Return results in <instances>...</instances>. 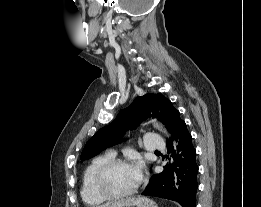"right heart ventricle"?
Masks as SVG:
<instances>
[{"mask_svg":"<svg viewBox=\"0 0 261 207\" xmlns=\"http://www.w3.org/2000/svg\"><path fill=\"white\" fill-rule=\"evenodd\" d=\"M111 159H113L112 154L100 155L91 160L83 172L80 194L84 203L89 206L100 205L106 200L97 192L94 179L97 170Z\"/></svg>","mask_w":261,"mask_h":207,"instance_id":"1","label":"right heart ventricle"}]
</instances>
